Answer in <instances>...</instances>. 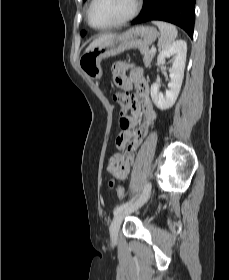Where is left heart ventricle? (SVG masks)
Wrapping results in <instances>:
<instances>
[{
    "label": "left heart ventricle",
    "instance_id": "b2bd125f",
    "mask_svg": "<svg viewBox=\"0 0 229 280\" xmlns=\"http://www.w3.org/2000/svg\"><path fill=\"white\" fill-rule=\"evenodd\" d=\"M134 0H97L91 15L94 25L103 26L131 13Z\"/></svg>",
    "mask_w": 229,
    "mask_h": 280
}]
</instances>
